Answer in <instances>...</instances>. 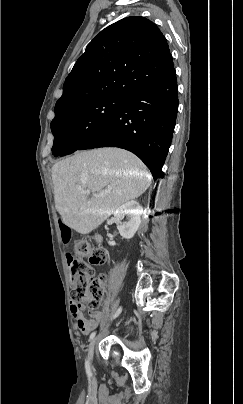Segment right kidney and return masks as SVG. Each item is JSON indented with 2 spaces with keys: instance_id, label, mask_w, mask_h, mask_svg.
I'll use <instances>...</instances> for the list:
<instances>
[{
  "instance_id": "obj_1",
  "label": "right kidney",
  "mask_w": 243,
  "mask_h": 404,
  "mask_svg": "<svg viewBox=\"0 0 243 404\" xmlns=\"http://www.w3.org/2000/svg\"><path fill=\"white\" fill-rule=\"evenodd\" d=\"M113 214L116 218L117 230H119L122 238H126V240L133 238L141 224L142 206H139L138 202H127V204L117 208ZM125 216L126 222H122ZM108 244L109 246H116L115 242H108Z\"/></svg>"
}]
</instances>
